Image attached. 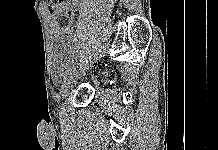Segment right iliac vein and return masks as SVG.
Segmentation results:
<instances>
[{
  "mask_svg": "<svg viewBox=\"0 0 218 150\" xmlns=\"http://www.w3.org/2000/svg\"><path fill=\"white\" fill-rule=\"evenodd\" d=\"M81 67L80 68H74L73 70V77L71 78H76L81 70ZM69 90H70V80H67L66 82H64V84L61 86V89H60V94L61 96L64 98L65 96H67V94L69 93Z\"/></svg>",
  "mask_w": 218,
  "mask_h": 150,
  "instance_id": "1",
  "label": "right iliac vein"
}]
</instances>
